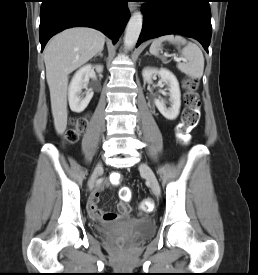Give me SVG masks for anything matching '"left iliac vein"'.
Listing matches in <instances>:
<instances>
[{
  "label": "left iliac vein",
  "mask_w": 258,
  "mask_h": 275,
  "mask_svg": "<svg viewBox=\"0 0 258 275\" xmlns=\"http://www.w3.org/2000/svg\"><path fill=\"white\" fill-rule=\"evenodd\" d=\"M139 169L141 173L145 176L147 181L150 183L151 190L154 195L157 197L160 196V186L152 169L145 163H142Z\"/></svg>",
  "instance_id": "obj_1"
}]
</instances>
